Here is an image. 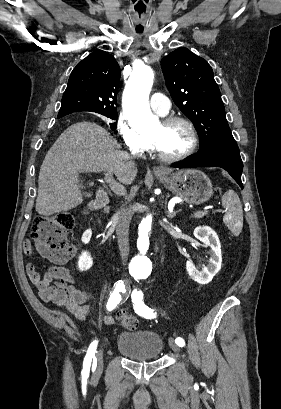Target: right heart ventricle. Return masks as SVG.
I'll list each match as a JSON object with an SVG mask.
<instances>
[{
  "mask_svg": "<svg viewBox=\"0 0 281 409\" xmlns=\"http://www.w3.org/2000/svg\"><path fill=\"white\" fill-rule=\"evenodd\" d=\"M144 150V143H143V145L140 147V148H138V149H136V150H134L135 152H141V151H143Z\"/></svg>",
  "mask_w": 281,
  "mask_h": 409,
  "instance_id": "obj_1",
  "label": "right heart ventricle"
}]
</instances>
